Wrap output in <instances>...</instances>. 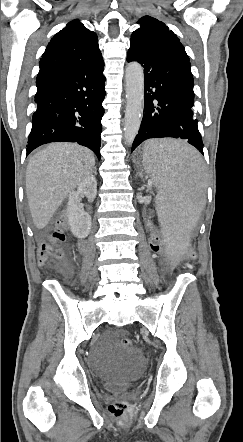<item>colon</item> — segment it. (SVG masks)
<instances>
[{"label":"colon","mask_w":243,"mask_h":442,"mask_svg":"<svg viewBox=\"0 0 243 442\" xmlns=\"http://www.w3.org/2000/svg\"><path fill=\"white\" fill-rule=\"evenodd\" d=\"M148 221L152 224L155 220L151 217ZM65 226L66 220L60 218L56 223V229L47 234L45 241L40 245L38 250V260L40 263L46 262L50 258H60L63 256L62 244L65 240L63 233ZM146 232L148 233L146 238L149 241V247L147 248L149 253H160L161 258H172L174 256L172 251H164V241H168V238L167 235H163V231L159 226H147ZM198 251V246L193 245L187 253H183V255L182 253H175V256H179L180 262H197L199 260L197 256ZM120 343L123 348H131L133 345L131 339L128 337H122ZM109 411L114 417L125 419L129 415V406L125 401L117 400L110 404Z\"/></svg>","instance_id":"5ec220e1"}]
</instances>
